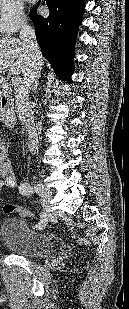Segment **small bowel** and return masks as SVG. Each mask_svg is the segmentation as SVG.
Returning a JSON list of instances; mask_svg holds the SVG:
<instances>
[{
    "label": "small bowel",
    "instance_id": "obj_1",
    "mask_svg": "<svg viewBox=\"0 0 129 309\" xmlns=\"http://www.w3.org/2000/svg\"><path fill=\"white\" fill-rule=\"evenodd\" d=\"M16 186L17 178L6 153V142L0 138V189L3 187L14 188Z\"/></svg>",
    "mask_w": 129,
    "mask_h": 309
}]
</instances>
